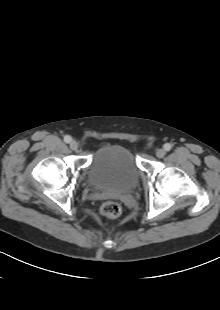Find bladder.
I'll use <instances>...</instances> for the list:
<instances>
[{"label":"bladder","mask_w":220,"mask_h":310,"mask_svg":"<svg viewBox=\"0 0 220 310\" xmlns=\"http://www.w3.org/2000/svg\"><path fill=\"white\" fill-rule=\"evenodd\" d=\"M139 177L132 153L118 145H107L96 150L88 167L90 184L106 192H129L137 186Z\"/></svg>","instance_id":"bladder-1"}]
</instances>
